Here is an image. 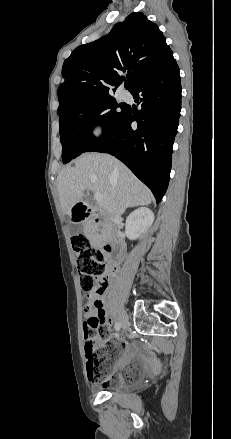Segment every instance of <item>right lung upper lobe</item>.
<instances>
[{
  "label": "right lung upper lobe",
  "mask_w": 231,
  "mask_h": 439,
  "mask_svg": "<svg viewBox=\"0 0 231 439\" xmlns=\"http://www.w3.org/2000/svg\"><path fill=\"white\" fill-rule=\"evenodd\" d=\"M173 52L158 26L143 13H131L102 38L78 46L63 64L58 114L80 102L110 97L121 85L131 91L159 71Z\"/></svg>",
  "instance_id": "right-lung-upper-lobe-1"
}]
</instances>
